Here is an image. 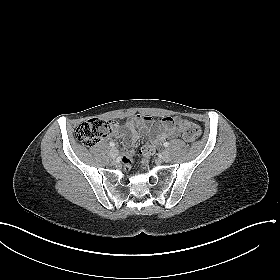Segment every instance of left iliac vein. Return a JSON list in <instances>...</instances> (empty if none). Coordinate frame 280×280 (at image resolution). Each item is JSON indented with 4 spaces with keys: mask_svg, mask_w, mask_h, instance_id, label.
<instances>
[{
    "mask_svg": "<svg viewBox=\"0 0 280 280\" xmlns=\"http://www.w3.org/2000/svg\"><path fill=\"white\" fill-rule=\"evenodd\" d=\"M161 159L164 162H169L171 159L170 152L168 150H163L161 153Z\"/></svg>",
    "mask_w": 280,
    "mask_h": 280,
    "instance_id": "left-iliac-vein-1",
    "label": "left iliac vein"
}]
</instances>
